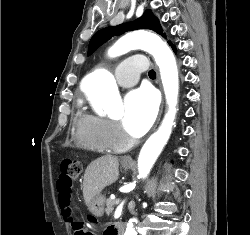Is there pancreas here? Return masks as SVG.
<instances>
[{"label": "pancreas", "mask_w": 250, "mask_h": 235, "mask_svg": "<svg viewBox=\"0 0 250 235\" xmlns=\"http://www.w3.org/2000/svg\"><path fill=\"white\" fill-rule=\"evenodd\" d=\"M116 200H113L111 198H108L107 201H106V214L107 215H110L113 210H114V205L116 204L115 203Z\"/></svg>", "instance_id": "1"}]
</instances>
